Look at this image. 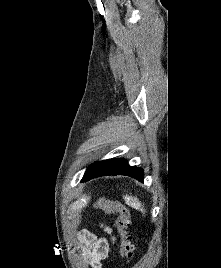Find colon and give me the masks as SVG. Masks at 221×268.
Masks as SVG:
<instances>
[{
  "label": "colon",
  "instance_id": "colon-1",
  "mask_svg": "<svg viewBox=\"0 0 221 268\" xmlns=\"http://www.w3.org/2000/svg\"><path fill=\"white\" fill-rule=\"evenodd\" d=\"M95 208L101 210L107 214H117V218L114 222V226L120 237L121 258L124 261H129L133 256L134 244L131 236L128 233V227L131 223V217L129 210L119 202L108 200L104 197H100L95 202Z\"/></svg>",
  "mask_w": 221,
  "mask_h": 268
}]
</instances>
